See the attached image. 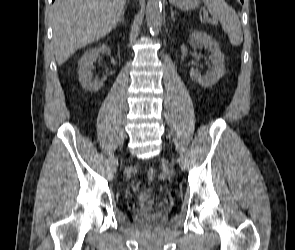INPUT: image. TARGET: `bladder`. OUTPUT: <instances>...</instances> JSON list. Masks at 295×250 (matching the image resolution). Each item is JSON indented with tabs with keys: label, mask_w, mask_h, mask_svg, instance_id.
Masks as SVG:
<instances>
[{
	"label": "bladder",
	"mask_w": 295,
	"mask_h": 250,
	"mask_svg": "<svg viewBox=\"0 0 295 250\" xmlns=\"http://www.w3.org/2000/svg\"><path fill=\"white\" fill-rule=\"evenodd\" d=\"M158 200V194L151 188L144 189L138 196V203L141 206L154 205Z\"/></svg>",
	"instance_id": "bladder-1"
}]
</instances>
